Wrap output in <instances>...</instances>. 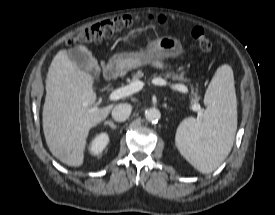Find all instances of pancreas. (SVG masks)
<instances>
[{"instance_id": "pancreas-1", "label": "pancreas", "mask_w": 275, "mask_h": 215, "mask_svg": "<svg viewBox=\"0 0 275 215\" xmlns=\"http://www.w3.org/2000/svg\"><path fill=\"white\" fill-rule=\"evenodd\" d=\"M144 76V73L142 70H138L136 73L132 75V82L139 81L140 78ZM162 76H164L166 79H172L173 81H180L182 83L188 82L187 78H184L183 74L175 73L174 71H162ZM191 91L193 96L191 97V105L198 104L199 97L197 96V92L194 90V88L191 86Z\"/></svg>"}]
</instances>
